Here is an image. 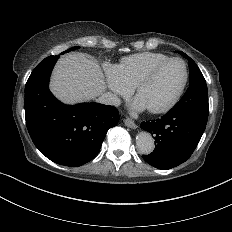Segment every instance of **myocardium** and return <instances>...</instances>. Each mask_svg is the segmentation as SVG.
I'll return each mask as SVG.
<instances>
[{
    "instance_id": "f54148a6",
    "label": "myocardium",
    "mask_w": 232,
    "mask_h": 232,
    "mask_svg": "<svg viewBox=\"0 0 232 232\" xmlns=\"http://www.w3.org/2000/svg\"><path fill=\"white\" fill-rule=\"evenodd\" d=\"M179 62L182 64L184 68V80L178 91L175 93V95L172 97V99L165 104L164 106L157 108V109H150L148 110L151 114H164L170 111L179 101L182 94L184 93L188 80H189V69L187 63L179 58V57H169L157 64H155L153 67H151L147 72H145L142 76L139 77V79L136 81V83L133 86V94L136 96L137 92L141 88V86L150 80L162 67H164L166 64L170 62Z\"/></svg>"
}]
</instances>
